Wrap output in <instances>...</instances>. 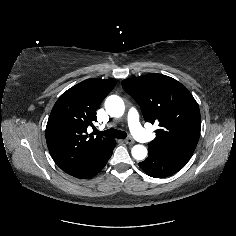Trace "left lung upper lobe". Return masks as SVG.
<instances>
[{"label":"left lung upper lobe","mask_w":236,"mask_h":236,"mask_svg":"<svg viewBox=\"0 0 236 236\" xmlns=\"http://www.w3.org/2000/svg\"><path fill=\"white\" fill-rule=\"evenodd\" d=\"M142 110L146 122L159 123L149 151L192 155L200 137L201 117L191 93L177 80L149 74L122 81Z\"/></svg>","instance_id":"obj_1"}]
</instances>
